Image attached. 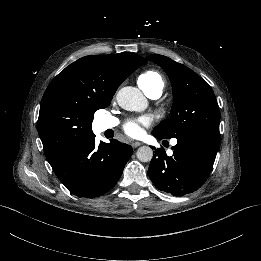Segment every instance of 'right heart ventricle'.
<instances>
[{
	"mask_svg": "<svg viewBox=\"0 0 261 261\" xmlns=\"http://www.w3.org/2000/svg\"><path fill=\"white\" fill-rule=\"evenodd\" d=\"M138 84L142 92L147 95L152 91H163L165 80L162 74L156 70H147L138 78Z\"/></svg>",
	"mask_w": 261,
	"mask_h": 261,
	"instance_id": "e07e8e85",
	"label": "right heart ventricle"
}]
</instances>
